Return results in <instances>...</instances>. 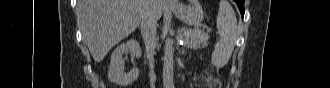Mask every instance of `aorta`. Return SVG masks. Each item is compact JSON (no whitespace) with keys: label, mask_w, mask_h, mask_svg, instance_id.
<instances>
[{"label":"aorta","mask_w":330,"mask_h":88,"mask_svg":"<svg viewBox=\"0 0 330 88\" xmlns=\"http://www.w3.org/2000/svg\"><path fill=\"white\" fill-rule=\"evenodd\" d=\"M173 40L166 38L164 48L163 64V86L164 88H174V68H173Z\"/></svg>","instance_id":"1"}]
</instances>
